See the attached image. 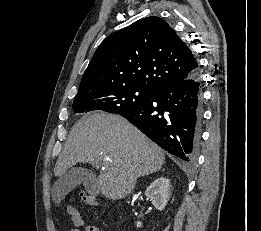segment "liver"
<instances>
[{
	"instance_id": "6515ba94",
	"label": "liver",
	"mask_w": 261,
	"mask_h": 231,
	"mask_svg": "<svg viewBox=\"0 0 261 231\" xmlns=\"http://www.w3.org/2000/svg\"><path fill=\"white\" fill-rule=\"evenodd\" d=\"M163 150L119 115L103 112L83 116L73 126L59 155L54 175L61 177L77 163L103 167L97 187L110 199L124 198L137 178L161 169Z\"/></svg>"
}]
</instances>
